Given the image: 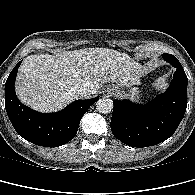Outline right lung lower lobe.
<instances>
[{"mask_svg":"<svg viewBox=\"0 0 195 195\" xmlns=\"http://www.w3.org/2000/svg\"><path fill=\"white\" fill-rule=\"evenodd\" d=\"M21 61L11 71L5 83V108L16 132L39 146L58 147L72 140L80 120L98 98L77 100L62 111L43 114L23 105L15 94V78Z\"/></svg>","mask_w":195,"mask_h":195,"instance_id":"right-lung-lower-lobe-1","label":"right lung lower lobe"}]
</instances>
